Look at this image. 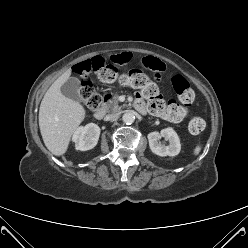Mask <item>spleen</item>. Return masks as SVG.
I'll return each mask as SVG.
<instances>
[{
  "instance_id": "1",
  "label": "spleen",
  "mask_w": 248,
  "mask_h": 248,
  "mask_svg": "<svg viewBox=\"0 0 248 248\" xmlns=\"http://www.w3.org/2000/svg\"><path fill=\"white\" fill-rule=\"evenodd\" d=\"M201 149H202V145L201 144L196 145L193 148V151H192L193 152V155L194 156H197L200 153Z\"/></svg>"
}]
</instances>
